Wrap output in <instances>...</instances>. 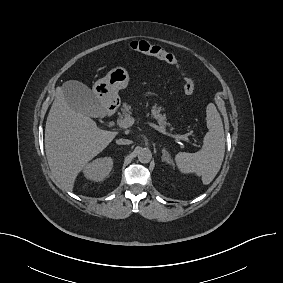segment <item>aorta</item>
<instances>
[{
    "label": "aorta",
    "mask_w": 283,
    "mask_h": 283,
    "mask_svg": "<svg viewBox=\"0 0 283 283\" xmlns=\"http://www.w3.org/2000/svg\"><path fill=\"white\" fill-rule=\"evenodd\" d=\"M152 158V153L149 149L143 148L138 152V160L141 163H148Z\"/></svg>",
    "instance_id": "1"
}]
</instances>
